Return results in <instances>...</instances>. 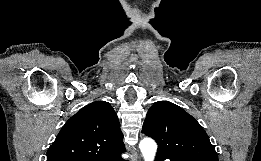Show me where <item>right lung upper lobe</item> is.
I'll return each instance as SVG.
<instances>
[{"mask_svg": "<svg viewBox=\"0 0 261 161\" xmlns=\"http://www.w3.org/2000/svg\"><path fill=\"white\" fill-rule=\"evenodd\" d=\"M125 151L118 117L108 102H92L62 127L47 161H87Z\"/></svg>", "mask_w": 261, "mask_h": 161, "instance_id": "obj_1", "label": "right lung upper lobe"}]
</instances>
